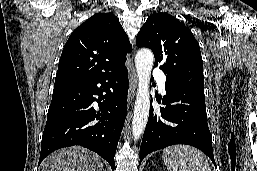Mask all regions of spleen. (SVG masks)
Instances as JSON below:
<instances>
[{"label": "spleen", "mask_w": 257, "mask_h": 171, "mask_svg": "<svg viewBox=\"0 0 257 171\" xmlns=\"http://www.w3.org/2000/svg\"><path fill=\"white\" fill-rule=\"evenodd\" d=\"M162 157L169 171H211L205 154L191 146H171L163 151Z\"/></svg>", "instance_id": "3e777b00"}]
</instances>
